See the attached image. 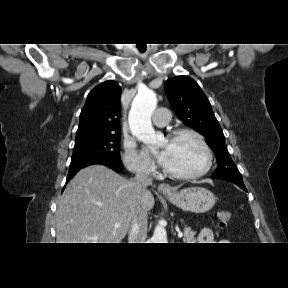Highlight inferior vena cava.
Here are the masks:
<instances>
[{
	"label": "inferior vena cava",
	"instance_id": "obj_1",
	"mask_svg": "<svg viewBox=\"0 0 288 288\" xmlns=\"http://www.w3.org/2000/svg\"><path fill=\"white\" fill-rule=\"evenodd\" d=\"M135 181L142 190L152 184V179L144 171L136 172ZM147 218V213L142 212L133 219L128 233L129 243H145L148 225Z\"/></svg>",
	"mask_w": 288,
	"mask_h": 288
}]
</instances>
